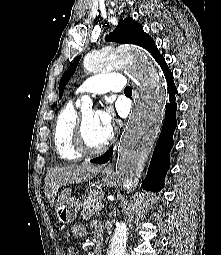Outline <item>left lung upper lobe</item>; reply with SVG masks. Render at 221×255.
I'll use <instances>...</instances> for the list:
<instances>
[{"instance_id":"1","label":"left lung upper lobe","mask_w":221,"mask_h":255,"mask_svg":"<svg viewBox=\"0 0 221 255\" xmlns=\"http://www.w3.org/2000/svg\"><path fill=\"white\" fill-rule=\"evenodd\" d=\"M106 41H115L120 44H136L147 49L152 55L157 51L153 39L143 31L141 24L136 23L130 17L120 19L114 32L106 36ZM79 60L80 56L63 74L59 83V98L62 97L64 87L73 76Z\"/></svg>"}]
</instances>
